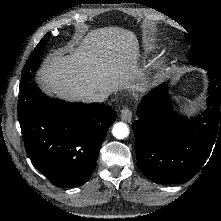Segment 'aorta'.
<instances>
[{"mask_svg": "<svg viewBox=\"0 0 221 221\" xmlns=\"http://www.w3.org/2000/svg\"><path fill=\"white\" fill-rule=\"evenodd\" d=\"M112 134L117 139H124L129 135V129L123 122H118L113 126Z\"/></svg>", "mask_w": 221, "mask_h": 221, "instance_id": "1", "label": "aorta"}]
</instances>
